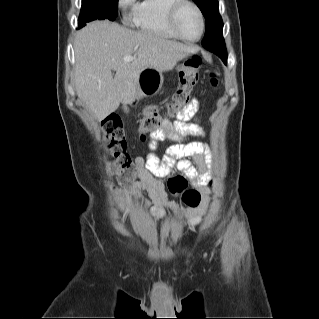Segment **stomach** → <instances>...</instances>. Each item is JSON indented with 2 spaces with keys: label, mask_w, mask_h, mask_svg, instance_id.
I'll use <instances>...</instances> for the list:
<instances>
[{
  "label": "stomach",
  "mask_w": 319,
  "mask_h": 319,
  "mask_svg": "<svg viewBox=\"0 0 319 319\" xmlns=\"http://www.w3.org/2000/svg\"><path fill=\"white\" fill-rule=\"evenodd\" d=\"M163 83L162 73L155 68L143 69L138 77L140 96L155 94Z\"/></svg>",
  "instance_id": "stomach-1"
}]
</instances>
